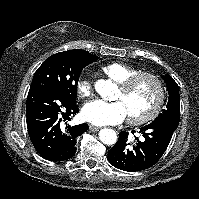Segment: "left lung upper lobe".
Segmentation results:
<instances>
[{
	"instance_id": "left-lung-upper-lobe-1",
	"label": "left lung upper lobe",
	"mask_w": 199,
	"mask_h": 199,
	"mask_svg": "<svg viewBox=\"0 0 199 199\" xmlns=\"http://www.w3.org/2000/svg\"><path fill=\"white\" fill-rule=\"evenodd\" d=\"M162 79L166 83L167 91L169 93V98L166 109H164L162 113L158 115L155 121L165 120L179 124L180 120L179 87L170 75L162 76Z\"/></svg>"
}]
</instances>
